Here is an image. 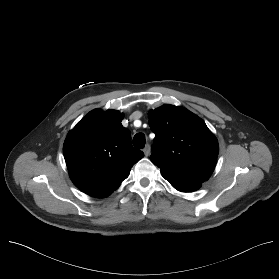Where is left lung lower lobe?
I'll return each instance as SVG.
<instances>
[{
    "label": "left lung lower lobe",
    "instance_id": "0a47b994",
    "mask_svg": "<svg viewBox=\"0 0 279 279\" xmlns=\"http://www.w3.org/2000/svg\"><path fill=\"white\" fill-rule=\"evenodd\" d=\"M161 174L175 189L182 192L195 191L202 185L201 182L179 178L168 173L161 172Z\"/></svg>",
    "mask_w": 279,
    "mask_h": 279
}]
</instances>
